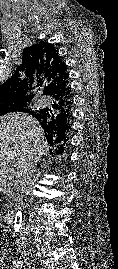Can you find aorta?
<instances>
[{"mask_svg": "<svg viewBox=\"0 0 118 269\" xmlns=\"http://www.w3.org/2000/svg\"><path fill=\"white\" fill-rule=\"evenodd\" d=\"M23 225V215L21 209L18 210L15 214L14 221H13V231L14 235H18L22 230Z\"/></svg>", "mask_w": 118, "mask_h": 269, "instance_id": "obj_1", "label": "aorta"}]
</instances>
